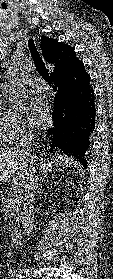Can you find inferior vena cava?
<instances>
[{
    "mask_svg": "<svg viewBox=\"0 0 113 279\" xmlns=\"http://www.w3.org/2000/svg\"><path fill=\"white\" fill-rule=\"evenodd\" d=\"M34 138L32 133H26L21 139L19 144L16 146V150L24 156L30 154ZM37 186V179L34 178V173L30 171L27 174L25 181V193H24V207H23V226L24 233L27 236L30 235L33 229L34 219V190Z\"/></svg>",
    "mask_w": 113,
    "mask_h": 279,
    "instance_id": "inferior-vena-cava-1",
    "label": "inferior vena cava"
}]
</instances>
